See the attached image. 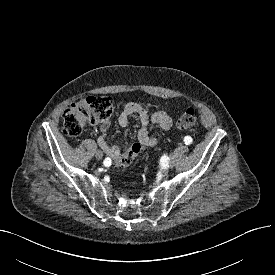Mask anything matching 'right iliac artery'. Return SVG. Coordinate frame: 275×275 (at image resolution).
<instances>
[{
	"mask_svg": "<svg viewBox=\"0 0 275 275\" xmlns=\"http://www.w3.org/2000/svg\"><path fill=\"white\" fill-rule=\"evenodd\" d=\"M104 165H105V166H110V165H111V159H110V158H106V159L104 160Z\"/></svg>",
	"mask_w": 275,
	"mask_h": 275,
	"instance_id": "obj_1",
	"label": "right iliac artery"
}]
</instances>
